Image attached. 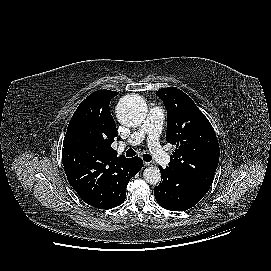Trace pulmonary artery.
I'll return each instance as SVG.
<instances>
[{
    "instance_id": "pulmonary-artery-1",
    "label": "pulmonary artery",
    "mask_w": 271,
    "mask_h": 271,
    "mask_svg": "<svg viewBox=\"0 0 271 271\" xmlns=\"http://www.w3.org/2000/svg\"><path fill=\"white\" fill-rule=\"evenodd\" d=\"M164 116L163 109L153 107L143 124L131 134L125 143L119 145V151H122L126 146L138 145L146 139L148 149L154 160L161 166L168 165L171 162V158L159 144Z\"/></svg>"
}]
</instances>
